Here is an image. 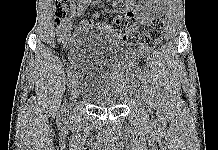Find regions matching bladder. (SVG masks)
<instances>
[{
  "instance_id": "bladder-1",
  "label": "bladder",
  "mask_w": 218,
  "mask_h": 150,
  "mask_svg": "<svg viewBox=\"0 0 218 150\" xmlns=\"http://www.w3.org/2000/svg\"><path fill=\"white\" fill-rule=\"evenodd\" d=\"M108 33L92 31L83 36L75 78L80 95L99 107H114L130 94L135 75Z\"/></svg>"
}]
</instances>
